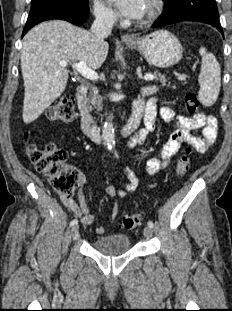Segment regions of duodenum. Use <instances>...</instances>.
<instances>
[{
	"instance_id": "obj_1",
	"label": "duodenum",
	"mask_w": 232,
	"mask_h": 311,
	"mask_svg": "<svg viewBox=\"0 0 232 311\" xmlns=\"http://www.w3.org/2000/svg\"><path fill=\"white\" fill-rule=\"evenodd\" d=\"M88 88L86 84L78 85L76 89V100L78 103L81 119L80 124L82 131L86 136L96 142H101L102 128L99 127L90 114L84 99L86 97ZM144 114V104L140 98L136 99L133 103L132 114L129 119L119 128L118 135L120 138L130 136L140 124Z\"/></svg>"
}]
</instances>
